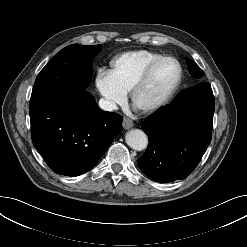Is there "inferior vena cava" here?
Returning a JSON list of instances; mask_svg holds the SVG:
<instances>
[{
	"label": "inferior vena cava",
	"mask_w": 247,
	"mask_h": 247,
	"mask_svg": "<svg viewBox=\"0 0 247 247\" xmlns=\"http://www.w3.org/2000/svg\"><path fill=\"white\" fill-rule=\"evenodd\" d=\"M99 107L102 109V110H105V111H113L117 108L116 104L112 101H108V100H105V99H100L99 101Z\"/></svg>",
	"instance_id": "obj_1"
}]
</instances>
